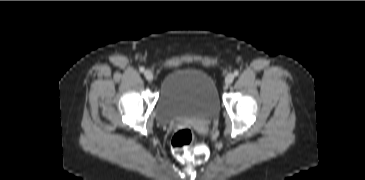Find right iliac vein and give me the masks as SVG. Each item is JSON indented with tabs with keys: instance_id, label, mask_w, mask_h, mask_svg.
I'll return each mask as SVG.
<instances>
[{
	"instance_id": "right-iliac-vein-1",
	"label": "right iliac vein",
	"mask_w": 365,
	"mask_h": 180,
	"mask_svg": "<svg viewBox=\"0 0 365 180\" xmlns=\"http://www.w3.org/2000/svg\"><path fill=\"white\" fill-rule=\"evenodd\" d=\"M144 76L148 81H152L153 80V73L150 70H146L144 72Z\"/></svg>"
}]
</instances>
